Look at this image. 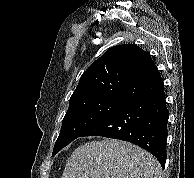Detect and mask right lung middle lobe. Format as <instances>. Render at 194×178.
Masks as SVG:
<instances>
[{
  "mask_svg": "<svg viewBox=\"0 0 194 178\" xmlns=\"http://www.w3.org/2000/svg\"><path fill=\"white\" fill-rule=\"evenodd\" d=\"M124 101L111 98H87L70 102L62 121L53 155L118 108Z\"/></svg>",
  "mask_w": 194,
  "mask_h": 178,
  "instance_id": "1",
  "label": "right lung middle lobe"
}]
</instances>
